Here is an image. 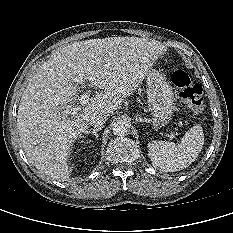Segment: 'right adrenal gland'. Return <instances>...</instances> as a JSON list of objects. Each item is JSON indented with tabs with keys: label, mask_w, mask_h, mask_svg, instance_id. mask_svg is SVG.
Returning <instances> with one entry per match:
<instances>
[{
	"label": "right adrenal gland",
	"mask_w": 233,
	"mask_h": 233,
	"mask_svg": "<svg viewBox=\"0 0 233 233\" xmlns=\"http://www.w3.org/2000/svg\"><path fill=\"white\" fill-rule=\"evenodd\" d=\"M101 129H102V127H98V128L93 129V130H92V129L86 130V131H85V134L88 135V134L91 133V134L94 135L96 138H98V134H97V133H98V131H100Z\"/></svg>",
	"instance_id": "right-adrenal-gland-1"
}]
</instances>
